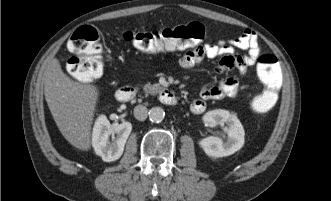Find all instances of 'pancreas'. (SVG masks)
I'll return each instance as SVG.
<instances>
[{"label":"pancreas","instance_id":"1","mask_svg":"<svg viewBox=\"0 0 331 201\" xmlns=\"http://www.w3.org/2000/svg\"><path fill=\"white\" fill-rule=\"evenodd\" d=\"M143 89L146 93L154 95L161 90V87L157 84L151 85L150 83H148L144 85Z\"/></svg>","mask_w":331,"mask_h":201}]
</instances>
